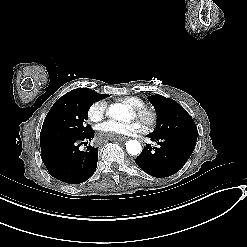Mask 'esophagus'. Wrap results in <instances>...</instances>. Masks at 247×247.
<instances>
[{
    "label": "esophagus",
    "mask_w": 247,
    "mask_h": 247,
    "mask_svg": "<svg viewBox=\"0 0 247 247\" xmlns=\"http://www.w3.org/2000/svg\"><path fill=\"white\" fill-rule=\"evenodd\" d=\"M137 144H145V141H143L141 137H138Z\"/></svg>",
    "instance_id": "esophagus-1"
}]
</instances>
